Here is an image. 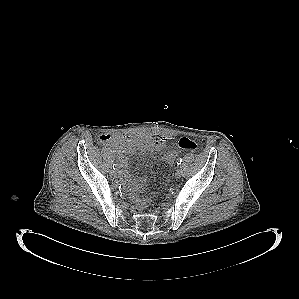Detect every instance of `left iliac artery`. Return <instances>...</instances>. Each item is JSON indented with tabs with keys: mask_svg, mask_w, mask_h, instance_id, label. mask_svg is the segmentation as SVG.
Returning <instances> with one entry per match:
<instances>
[{
	"mask_svg": "<svg viewBox=\"0 0 299 299\" xmlns=\"http://www.w3.org/2000/svg\"><path fill=\"white\" fill-rule=\"evenodd\" d=\"M182 163V158L177 159V165H180Z\"/></svg>",
	"mask_w": 299,
	"mask_h": 299,
	"instance_id": "44dca946",
	"label": "left iliac artery"
}]
</instances>
